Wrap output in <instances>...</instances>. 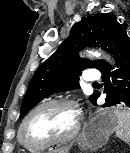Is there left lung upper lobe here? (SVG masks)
I'll list each match as a JSON object with an SVG mask.
<instances>
[{
	"label": "left lung upper lobe",
	"instance_id": "left-lung-upper-lobe-1",
	"mask_svg": "<svg viewBox=\"0 0 130 153\" xmlns=\"http://www.w3.org/2000/svg\"><path fill=\"white\" fill-rule=\"evenodd\" d=\"M123 30L116 18L108 14L83 17L75 23L70 36L35 72L22 102L20 119L45 97L56 92L79 89L78 79L82 70L91 67L99 70L105 63L103 60L79 58V50L94 46L107 51L110 42ZM99 94L94 91L89 100L94 103Z\"/></svg>",
	"mask_w": 130,
	"mask_h": 153
}]
</instances>
